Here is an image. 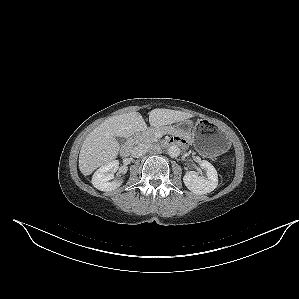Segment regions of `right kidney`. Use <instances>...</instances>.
<instances>
[{
    "label": "right kidney",
    "instance_id": "right-kidney-1",
    "mask_svg": "<svg viewBox=\"0 0 299 299\" xmlns=\"http://www.w3.org/2000/svg\"><path fill=\"white\" fill-rule=\"evenodd\" d=\"M119 167V161L113 160L111 162H108L104 165H102L93 175L92 177V184L95 188H97L100 191H112L119 187L123 180H114L111 181L114 178V172Z\"/></svg>",
    "mask_w": 299,
    "mask_h": 299
}]
</instances>
